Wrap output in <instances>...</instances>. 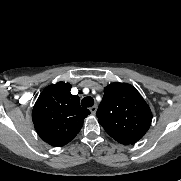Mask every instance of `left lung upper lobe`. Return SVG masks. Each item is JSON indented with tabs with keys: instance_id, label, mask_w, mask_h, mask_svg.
Wrapping results in <instances>:
<instances>
[{
	"instance_id": "left-lung-upper-lobe-1",
	"label": "left lung upper lobe",
	"mask_w": 181,
	"mask_h": 181,
	"mask_svg": "<svg viewBox=\"0 0 181 181\" xmlns=\"http://www.w3.org/2000/svg\"><path fill=\"white\" fill-rule=\"evenodd\" d=\"M97 117L99 124L113 139L129 145L135 144L148 131L152 112L135 87L114 82L104 88Z\"/></svg>"
}]
</instances>
